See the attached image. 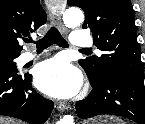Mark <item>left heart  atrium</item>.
<instances>
[{
	"label": "left heart atrium",
	"instance_id": "left-heart-atrium-1",
	"mask_svg": "<svg viewBox=\"0 0 145 124\" xmlns=\"http://www.w3.org/2000/svg\"><path fill=\"white\" fill-rule=\"evenodd\" d=\"M34 78L41 91L57 98L72 97L78 92L82 82L78 70L61 56L39 64Z\"/></svg>",
	"mask_w": 145,
	"mask_h": 124
}]
</instances>
